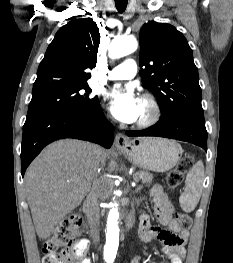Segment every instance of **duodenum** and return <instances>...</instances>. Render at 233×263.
<instances>
[{
    "label": "duodenum",
    "mask_w": 233,
    "mask_h": 263,
    "mask_svg": "<svg viewBox=\"0 0 233 263\" xmlns=\"http://www.w3.org/2000/svg\"><path fill=\"white\" fill-rule=\"evenodd\" d=\"M133 223H134V216H133V214H129L127 219H126V228L130 229L132 227Z\"/></svg>",
    "instance_id": "410a0bca"
}]
</instances>
